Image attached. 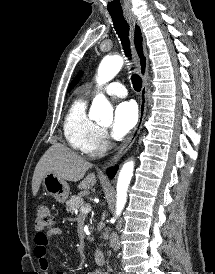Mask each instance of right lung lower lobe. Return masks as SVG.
Wrapping results in <instances>:
<instances>
[{
	"label": "right lung lower lobe",
	"instance_id": "1",
	"mask_svg": "<svg viewBox=\"0 0 215 274\" xmlns=\"http://www.w3.org/2000/svg\"><path fill=\"white\" fill-rule=\"evenodd\" d=\"M116 169H117V167H116V168H109V169L107 170V174H108V176H109L110 178H113V175H114V173L116 172Z\"/></svg>",
	"mask_w": 215,
	"mask_h": 274
}]
</instances>
